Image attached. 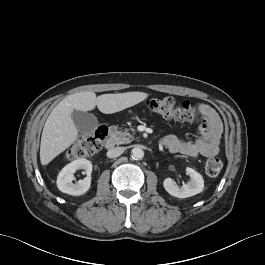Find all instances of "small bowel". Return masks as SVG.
<instances>
[{"label":"small bowel","mask_w":265,"mask_h":265,"mask_svg":"<svg viewBox=\"0 0 265 265\" xmlns=\"http://www.w3.org/2000/svg\"><path fill=\"white\" fill-rule=\"evenodd\" d=\"M204 120L199 127L198 137L193 141L183 140L174 135L164 137L163 144L171 152L190 158L208 157L219 151L222 122L215 109L207 103L197 105Z\"/></svg>","instance_id":"small-bowel-1"}]
</instances>
